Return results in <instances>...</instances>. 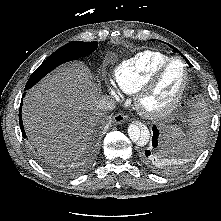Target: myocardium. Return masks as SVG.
Masks as SVG:
<instances>
[{
  "instance_id": "1",
  "label": "myocardium",
  "mask_w": 221,
  "mask_h": 221,
  "mask_svg": "<svg viewBox=\"0 0 221 221\" xmlns=\"http://www.w3.org/2000/svg\"><path fill=\"white\" fill-rule=\"evenodd\" d=\"M174 62H181L184 68V79L180 90L168 104L162 107L155 109H149L145 107L144 105L145 100L154 92V90L159 85L162 77L164 76L165 72ZM189 82H190L189 68L185 60L180 57L169 58L163 65H161L153 73V75L147 80V82L136 92L135 106L137 111L142 116L149 119H159L169 115L179 106V104L183 100L186 91L188 89Z\"/></svg>"
}]
</instances>
